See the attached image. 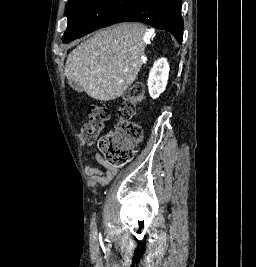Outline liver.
Returning <instances> with one entry per match:
<instances>
[{
  "mask_svg": "<svg viewBox=\"0 0 256 267\" xmlns=\"http://www.w3.org/2000/svg\"><path fill=\"white\" fill-rule=\"evenodd\" d=\"M143 24H116L98 30L93 38L79 44L66 60L64 74L78 82L84 92L101 102L120 98L133 84L142 66Z\"/></svg>",
  "mask_w": 256,
  "mask_h": 267,
  "instance_id": "6515ba94",
  "label": "liver"
}]
</instances>
